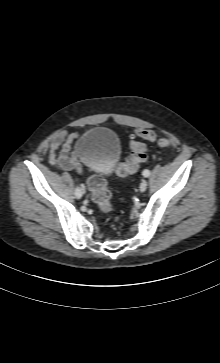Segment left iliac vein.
Returning <instances> with one entry per match:
<instances>
[{
    "label": "left iliac vein",
    "mask_w": 220,
    "mask_h": 363,
    "mask_svg": "<svg viewBox=\"0 0 220 363\" xmlns=\"http://www.w3.org/2000/svg\"><path fill=\"white\" fill-rule=\"evenodd\" d=\"M147 181L146 180H143L141 183H140V187H139V189H140V192H145L146 191V189H147Z\"/></svg>",
    "instance_id": "4c4485c4"
}]
</instances>
